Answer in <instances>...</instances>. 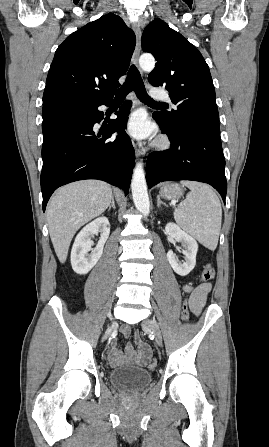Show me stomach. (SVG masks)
I'll list each match as a JSON object with an SVG mask.
<instances>
[{"label": "stomach", "instance_id": "stomach-1", "mask_svg": "<svg viewBox=\"0 0 269 447\" xmlns=\"http://www.w3.org/2000/svg\"><path fill=\"white\" fill-rule=\"evenodd\" d=\"M161 198L165 200H179L183 196V188L179 184H170V182H165V184H160Z\"/></svg>", "mask_w": 269, "mask_h": 447}]
</instances>
